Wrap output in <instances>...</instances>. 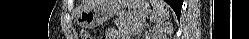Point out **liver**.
Segmentation results:
<instances>
[{
	"label": "liver",
	"mask_w": 249,
	"mask_h": 39,
	"mask_svg": "<svg viewBox=\"0 0 249 39\" xmlns=\"http://www.w3.org/2000/svg\"><path fill=\"white\" fill-rule=\"evenodd\" d=\"M114 2H116V0H87L84 3L83 10L89 9L92 6H94L96 4H99V3H102V4L103 3L104 4H113Z\"/></svg>",
	"instance_id": "6515ba94"
}]
</instances>
